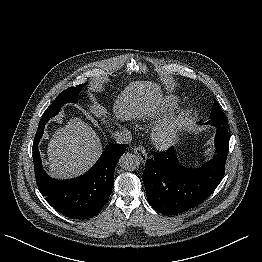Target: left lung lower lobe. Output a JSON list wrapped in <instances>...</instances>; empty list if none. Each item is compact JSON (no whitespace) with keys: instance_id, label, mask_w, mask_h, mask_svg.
Returning <instances> with one entry per match:
<instances>
[{"instance_id":"1","label":"left lung lower lobe","mask_w":262,"mask_h":262,"mask_svg":"<svg viewBox=\"0 0 262 262\" xmlns=\"http://www.w3.org/2000/svg\"><path fill=\"white\" fill-rule=\"evenodd\" d=\"M216 154L199 169L183 167L174 148L153 153L143 172V183L150 205L163 214H177L203 202L218 186L224 175L230 133L216 126Z\"/></svg>"}]
</instances>
